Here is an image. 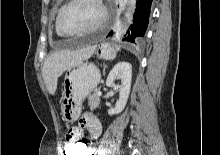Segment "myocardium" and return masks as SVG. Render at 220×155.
I'll return each mask as SVG.
<instances>
[{"label":"myocardium","mask_w":220,"mask_h":155,"mask_svg":"<svg viewBox=\"0 0 220 155\" xmlns=\"http://www.w3.org/2000/svg\"><path fill=\"white\" fill-rule=\"evenodd\" d=\"M77 0H68L67 2H65L59 9L56 19H55V28L56 31L63 36H77V35H83V34H88V33H92L95 32L99 29H101L107 22L108 19V10L107 7L104 3L103 0H96V2L100 5L101 9H102V18L101 20L94 26L87 28V29H83V30H79V31H73V32H68L65 31L62 27H61V16L62 13L64 12V10L69 7L71 4L75 3Z\"/></svg>","instance_id":"f54148a6"}]
</instances>
